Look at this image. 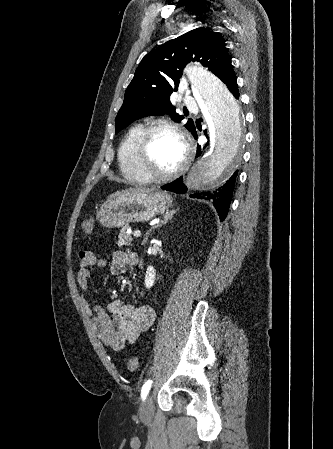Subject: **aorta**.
I'll return each instance as SVG.
<instances>
[{
  "mask_svg": "<svg viewBox=\"0 0 333 449\" xmlns=\"http://www.w3.org/2000/svg\"><path fill=\"white\" fill-rule=\"evenodd\" d=\"M185 72L211 122V149L192 165L185 184L192 191H213L222 186L236 164L243 143L239 129L242 115L231 92L212 73L200 65H190Z\"/></svg>",
  "mask_w": 333,
  "mask_h": 449,
  "instance_id": "1",
  "label": "aorta"
}]
</instances>
